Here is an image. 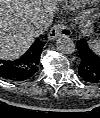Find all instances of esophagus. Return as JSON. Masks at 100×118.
Here are the masks:
<instances>
[{"label": "esophagus", "mask_w": 100, "mask_h": 118, "mask_svg": "<svg viewBox=\"0 0 100 118\" xmlns=\"http://www.w3.org/2000/svg\"><path fill=\"white\" fill-rule=\"evenodd\" d=\"M71 33L72 32L68 26H65L63 24H56L51 28L50 32L48 33V39L52 41L56 40L61 36L69 37Z\"/></svg>", "instance_id": "obj_1"}]
</instances>
